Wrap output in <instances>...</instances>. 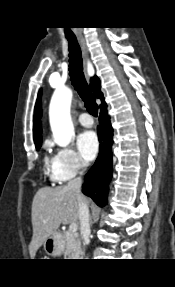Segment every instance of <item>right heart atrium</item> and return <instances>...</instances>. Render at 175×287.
<instances>
[{"label":"right heart atrium","mask_w":175,"mask_h":287,"mask_svg":"<svg viewBox=\"0 0 175 287\" xmlns=\"http://www.w3.org/2000/svg\"><path fill=\"white\" fill-rule=\"evenodd\" d=\"M87 167L86 161L72 148L64 147L56 150L53 157L51 179L56 183L65 182Z\"/></svg>","instance_id":"obj_1"}]
</instances>
